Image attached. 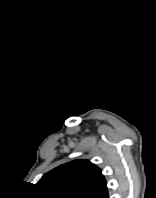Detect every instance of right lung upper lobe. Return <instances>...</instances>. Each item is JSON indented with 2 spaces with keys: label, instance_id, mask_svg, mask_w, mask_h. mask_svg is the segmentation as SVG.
<instances>
[{
  "label": "right lung upper lobe",
  "instance_id": "cb5924a9",
  "mask_svg": "<svg viewBox=\"0 0 156 198\" xmlns=\"http://www.w3.org/2000/svg\"><path fill=\"white\" fill-rule=\"evenodd\" d=\"M37 187L50 198H109L101 170L88 160H75L49 171Z\"/></svg>",
  "mask_w": 156,
  "mask_h": 198
}]
</instances>
